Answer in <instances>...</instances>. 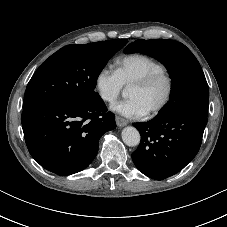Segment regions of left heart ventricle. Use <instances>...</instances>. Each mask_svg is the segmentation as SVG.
Here are the masks:
<instances>
[{"mask_svg": "<svg viewBox=\"0 0 227 227\" xmlns=\"http://www.w3.org/2000/svg\"><path fill=\"white\" fill-rule=\"evenodd\" d=\"M166 91L167 83L164 79H160L145 88L130 86L128 89V97L139 100L145 110L149 112L162 102Z\"/></svg>", "mask_w": 227, "mask_h": 227, "instance_id": "b2bd125f", "label": "left heart ventricle"}]
</instances>
